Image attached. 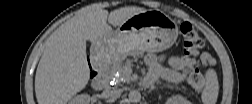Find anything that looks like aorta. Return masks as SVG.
<instances>
[{
    "instance_id": "aorta-1",
    "label": "aorta",
    "mask_w": 252,
    "mask_h": 104,
    "mask_svg": "<svg viewBox=\"0 0 252 104\" xmlns=\"http://www.w3.org/2000/svg\"><path fill=\"white\" fill-rule=\"evenodd\" d=\"M128 97L131 103H138L141 100V93L138 90H131Z\"/></svg>"
}]
</instances>
